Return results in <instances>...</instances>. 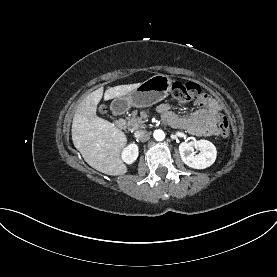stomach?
Returning a JSON list of instances; mask_svg holds the SVG:
<instances>
[{
    "label": "stomach",
    "instance_id": "stomach-1",
    "mask_svg": "<svg viewBox=\"0 0 277 277\" xmlns=\"http://www.w3.org/2000/svg\"><path fill=\"white\" fill-rule=\"evenodd\" d=\"M172 80L167 75L157 74L142 82L136 89L125 96L113 100L111 108L122 113L133 107H148L168 96Z\"/></svg>",
    "mask_w": 277,
    "mask_h": 277
}]
</instances>
